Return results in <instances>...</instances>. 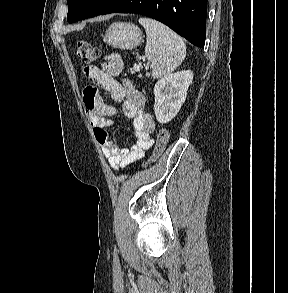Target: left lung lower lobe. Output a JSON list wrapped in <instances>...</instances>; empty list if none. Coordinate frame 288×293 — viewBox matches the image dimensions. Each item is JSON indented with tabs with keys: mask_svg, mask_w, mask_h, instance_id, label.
<instances>
[{
	"mask_svg": "<svg viewBox=\"0 0 288 293\" xmlns=\"http://www.w3.org/2000/svg\"><path fill=\"white\" fill-rule=\"evenodd\" d=\"M136 13L156 19L186 38L204 47L207 0H117L101 14Z\"/></svg>",
	"mask_w": 288,
	"mask_h": 293,
	"instance_id": "left-lung-lower-lobe-1",
	"label": "left lung lower lobe"
}]
</instances>
